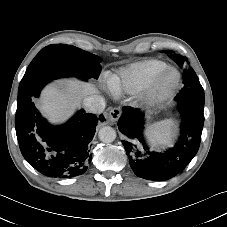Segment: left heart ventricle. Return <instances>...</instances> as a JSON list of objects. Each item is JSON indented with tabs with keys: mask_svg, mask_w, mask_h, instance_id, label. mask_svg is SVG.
Wrapping results in <instances>:
<instances>
[{
	"mask_svg": "<svg viewBox=\"0 0 227 227\" xmlns=\"http://www.w3.org/2000/svg\"><path fill=\"white\" fill-rule=\"evenodd\" d=\"M174 79H175V73L173 72L168 73L163 79V86L164 87L169 86L174 81Z\"/></svg>",
	"mask_w": 227,
	"mask_h": 227,
	"instance_id": "1",
	"label": "left heart ventricle"
}]
</instances>
